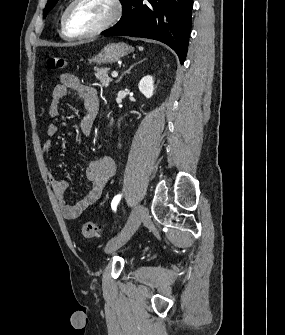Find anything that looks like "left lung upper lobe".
Segmentation results:
<instances>
[{
	"mask_svg": "<svg viewBox=\"0 0 285 335\" xmlns=\"http://www.w3.org/2000/svg\"><path fill=\"white\" fill-rule=\"evenodd\" d=\"M58 0H48V3L44 9V17H46V14L53 8V6L57 3ZM123 2V0H120Z\"/></svg>",
	"mask_w": 285,
	"mask_h": 335,
	"instance_id": "5c2ea615",
	"label": "left lung upper lobe"
}]
</instances>
